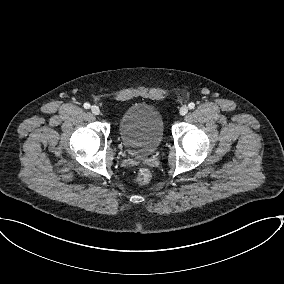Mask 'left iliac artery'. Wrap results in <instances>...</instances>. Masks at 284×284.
I'll list each match as a JSON object with an SVG mask.
<instances>
[{
	"label": "left iliac artery",
	"instance_id": "44dca946",
	"mask_svg": "<svg viewBox=\"0 0 284 284\" xmlns=\"http://www.w3.org/2000/svg\"><path fill=\"white\" fill-rule=\"evenodd\" d=\"M188 107H189V109H194L195 104L193 102H191V103L188 104Z\"/></svg>",
	"mask_w": 284,
	"mask_h": 284
}]
</instances>
